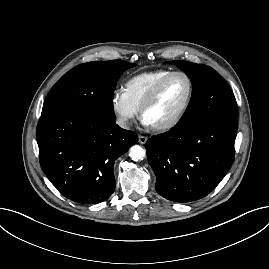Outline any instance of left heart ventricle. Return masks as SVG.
Returning a JSON list of instances; mask_svg holds the SVG:
<instances>
[{"label":"left heart ventricle","instance_id":"obj_1","mask_svg":"<svg viewBox=\"0 0 269 269\" xmlns=\"http://www.w3.org/2000/svg\"><path fill=\"white\" fill-rule=\"evenodd\" d=\"M188 82L185 77H172L163 87L154 105L147 110L144 119L150 125L170 120L184 105L188 96Z\"/></svg>","mask_w":269,"mask_h":269}]
</instances>
